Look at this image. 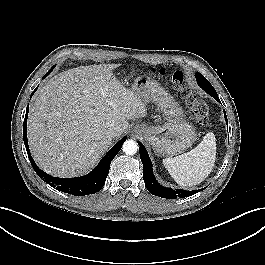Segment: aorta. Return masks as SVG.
Returning a JSON list of instances; mask_svg holds the SVG:
<instances>
[{
    "mask_svg": "<svg viewBox=\"0 0 265 265\" xmlns=\"http://www.w3.org/2000/svg\"><path fill=\"white\" fill-rule=\"evenodd\" d=\"M122 150L126 155H134L138 150V144L134 140H127L124 142Z\"/></svg>",
    "mask_w": 265,
    "mask_h": 265,
    "instance_id": "1",
    "label": "aorta"
}]
</instances>
